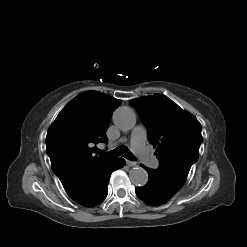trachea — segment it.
<instances>
[{"mask_svg": "<svg viewBox=\"0 0 247 247\" xmlns=\"http://www.w3.org/2000/svg\"><path fill=\"white\" fill-rule=\"evenodd\" d=\"M97 153L99 155H105V156H109V157H118V156H123L126 159L129 160H134L133 154L131 153V151L125 147V146H120L117 147L116 149L108 152V153H103L102 151L98 150Z\"/></svg>", "mask_w": 247, "mask_h": 247, "instance_id": "obj_1", "label": "trachea"}]
</instances>
